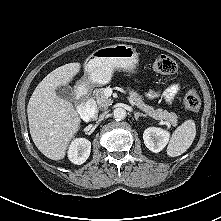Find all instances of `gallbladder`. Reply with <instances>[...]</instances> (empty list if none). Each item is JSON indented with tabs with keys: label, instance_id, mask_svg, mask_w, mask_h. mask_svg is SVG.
<instances>
[{
	"label": "gallbladder",
	"instance_id": "1",
	"mask_svg": "<svg viewBox=\"0 0 221 221\" xmlns=\"http://www.w3.org/2000/svg\"><path fill=\"white\" fill-rule=\"evenodd\" d=\"M56 94L58 97H60L64 100L73 101L75 99V93H74L73 89L68 85H63V86L57 87Z\"/></svg>",
	"mask_w": 221,
	"mask_h": 221
}]
</instances>
